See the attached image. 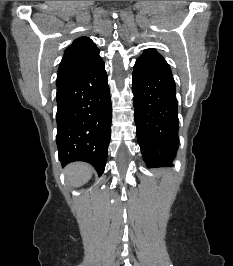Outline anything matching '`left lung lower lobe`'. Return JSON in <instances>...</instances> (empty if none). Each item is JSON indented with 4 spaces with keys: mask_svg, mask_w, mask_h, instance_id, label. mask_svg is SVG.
Segmentation results:
<instances>
[{
    "mask_svg": "<svg viewBox=\"0 0 233 266\" xmlns=\"http://www.w3.org/2000/svg\"><path fill=\"white\" fill-rule=\"evenodd\" d=\"M132 89L137 138L146 164H171L179 141L176 87L170 66L155 49L137 59Z\"/></svg>",
    "mask_w": 233,
    "mask_h": 266,
    "instance_id": "0a47b994",
    "label": "left lung lower lobe"
}]
</instances>
